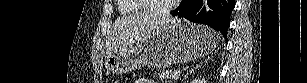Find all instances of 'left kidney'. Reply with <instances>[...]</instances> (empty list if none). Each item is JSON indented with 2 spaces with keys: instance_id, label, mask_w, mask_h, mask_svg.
<instances>
[{
  "instance_id": "1",
  "label": "left kidney",
  "mask_w": 307,
  "mask_h": 83,
  "mask_svg": "<svg viewBox=\"0 0 307 83\" xmlns=\"http://www.w3.org/2000/svg\"><path fill=\"white\" fill-rule=\"evenodd\" d=\"M207 81H205V79L203 78H197L194 79L191 83H206Z\"/></svg>"
}]
</instances>
